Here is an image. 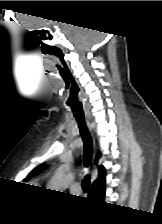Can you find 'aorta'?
<instances>
[{
    "label": "aorta",
    "instance_id": "762f6f07",
    "mask_svg": "<svg viewBox=\"0 0 162 224\" xmlns=\"http://www.w3.org/2000/svg\"><path fill=\"white\" fill-rule=\"evenodd\" d=\"M68 168H69V165L64 164L57 170V172L54 176V179H53V183H52V187L54 189H59L60 188L62 178H63L64 174L66 173V171L68 170ZM56 191H58V190H56Z\"/></svg>",
    "mask_w": 162,
    "mask_h": 224
}]
</instances>
